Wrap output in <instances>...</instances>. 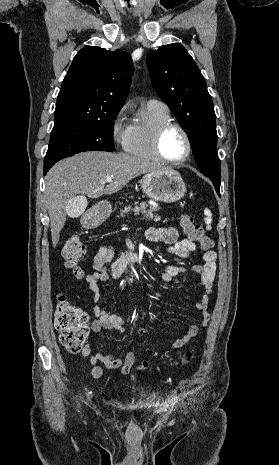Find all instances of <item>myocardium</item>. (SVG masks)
I'll list each match as a JSON object with an SVG mask.
<instances>
[{"label": "myocardium", "instance_id": "1", "mask_svg": "<svg viewBox=\"0 0 279 465\" xmlns=\"http://www.w3.org/2000/svg\"><path fill=\"white\" fill-rule=\"evenodd\" d=\"M172 128H175L177 130H179L184 139H185V142H186V153L185 155L180 158V159H177V160H172V159H169L167 158L164 153H163V150H162V140H163V137L165 135V133L172 129ZM154 149H155V152L156 154L158 155V157L161 159V161L167 163V164H171V165H180L184 162H186L190 156H191V153H192V142H191V138L188 134V132L186 131V129L180 125L179 123H176V122H167V123H164L163 125H161L158 130L156 131V134H155V137H154Z\"/></svg>", "mask_w": 279, "mask_h": 465}]
</instances>
